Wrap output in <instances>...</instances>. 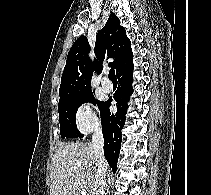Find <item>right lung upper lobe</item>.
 <instances>
[{
    "label": "right lung upper lobe",
    "instance_id": "right-lung-upper-lobe-1",
    "mask_svg": "<svg viewBox=\"0 0 211 195\" xmlns=\"http://www.w3.org/2000/svg\"><path fill=\"white\" fill-rule=\"evenodd\" d=\"M95 55L97 60L88 58L90 46L85 36H80L71 47L61 78L59 103L73 100L92 93L91 78L94 70H102L105 58H115L109 65L118 75L133 65L131 42L118 17L111 13L104 28L96 36Z\"/></svg>",
    "mask_w": 211,
    "mask_h": 195
}]
</instances>
